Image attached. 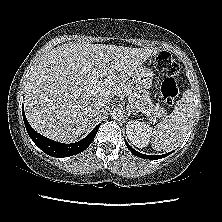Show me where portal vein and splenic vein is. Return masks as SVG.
Listing matches in <instances>:
<instances>
[{
  "label": "portal vein and splenic vein",
  "mask_w": 222,
  "mask_h": 222,
  "mask_svg": "<svg viewBox=\"0 0 222 222\" xmlns=\"http://www.w3.org/2000/svg\"><path fill=\"white\" fill-rule=\"evenodd\" d=\"M97 82H98V80H97V79L92 80V83H93V84H95V83H97Z\"/></svg>",
  "instance_id": "1"
}]
</instances>
